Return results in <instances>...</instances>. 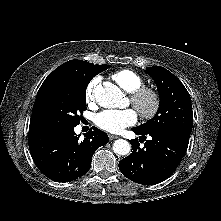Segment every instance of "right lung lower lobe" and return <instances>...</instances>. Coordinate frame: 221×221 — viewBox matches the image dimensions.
<instances>
[{"label":"right lung lower lobe","mask_w":221,"mask_h":221,"mask_svg":"<svg viewBox=\"0 0 221 221\" xmlns=\"http://www.w3.org/2000/svg\"><path fill=\"white\" fill-rule=\"evenodd\" d=\"M74 127L29 133V149L34 163L48 178L68 182L89 171L97 148L108 143V135L92 127L80 141Z\"/></svg>","instance_id":"right-lung-lower-lobe-1"}]
</instances>
